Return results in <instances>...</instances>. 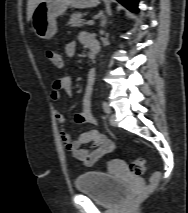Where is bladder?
Masks as SVG:
<instances>
[{
	"label": "bladder",
	"mask_w": 188,
	"mask_h": 213,
	"mask_svg": "<svg viewBox=\"0 0 188 213\" xmlns=\"http://www.w3.org/2000/svg\"><path fill=\"white\" fill-rule=\"evenodd\" d=\"M76 189L103 206H115L127 192L125 182L104 171H86L77 176Z\"/></svg>",
	"instance_id": "1"
}]
</instances>
